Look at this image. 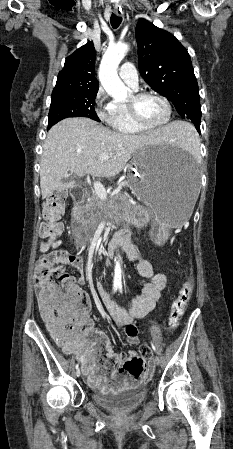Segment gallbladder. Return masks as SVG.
Wrapping results in <instances>:
<instances>
[{"label":"gallbladder","mask_w":233,"mask_h":449,"mask_svg":"<svg viewBox=\"0 0 233 449\" xmlns=\"http://www.w3.org/2000/svg\"><path fill=\"white\" fill-rule=\"evenodd\" d=\"M56 194H57L59 197L64 198L65 195H66V192H65V191H58Z\"/></svg>","instance_id":"gallbladder-1"}]
</instances>
